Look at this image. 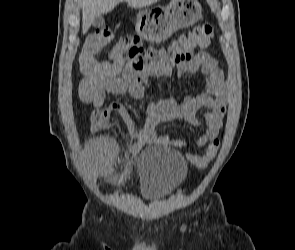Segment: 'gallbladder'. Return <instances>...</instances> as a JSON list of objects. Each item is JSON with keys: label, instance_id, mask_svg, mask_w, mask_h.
Segmentation results:
<instances>
[{"label": "gallbladder", "instance_id": "1", "mask_svg": "<svg viewBox=\"0 0 295 250\" xmlns=\"http://www.w3.org/2000/svg\"><path fill=\"white\" fill-rule=\"evenodd\" d=\"M104 25L105 20L102 16L96 17L92 22V26L95 28H102Z\"/></svg>", "mask_w": 295, "mask_h": 250}]
</instances>
